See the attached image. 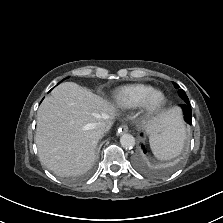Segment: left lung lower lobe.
Segmentation results:
<instances>
[{
    "mask_svg": "<svg viewBox=\"0 0 223 223\" xmlns=\"http://www.w3.org/2000/svg\"><path fill=\"white\" fill-rule=\"evenodd\" d=\"M182 110H183V114H184V120L188 123V124H192V111L190 108V103L189 102H185L184 104L180 105ZM142 148L144 149V146L142 145ZM145 152V149H144ZM139 165H141V163H138Z\"/></svg>",
    "mask_w": 223,
    "mask_h": 223,
    "instance_id": "1",
    "label": "left lung lower lobe"
}]
</instances>
